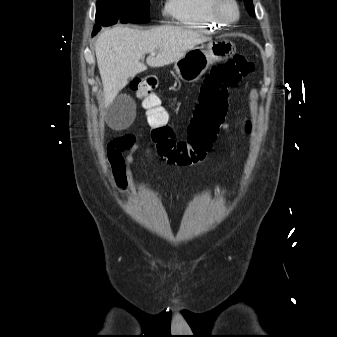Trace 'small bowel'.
<instances>
[{
    "instance_id": "c3829d8e",
    "label": "small bowel",
    "mask_w": 337,
    "mask_h": 337,
    "mask_svg": "<svg viewBox=\"0 0 337 337\" xmlns=\"http://www.w3.org/2000/svg\"><path fill=\"white\" fill-rule=\"evenodd\" d=\"M223 130L226 133L230 132L228 123L223 125ZM139 148L140 145L133 136L117 138L108 146L106 163L121 197H124L133 187L134 178L131 166ZM231 154L234 155V153ZM144 157L147 161L152 162L149 146L144 149Z\"/></svg>"
}]
</instances>
